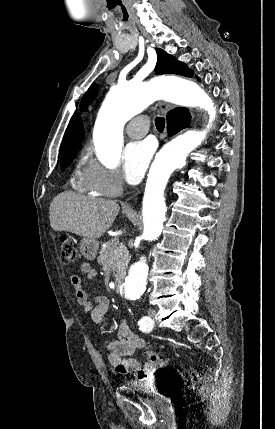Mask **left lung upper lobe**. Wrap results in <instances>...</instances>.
<instances>
[{
  "label": "left lung upper lobe",
  "instance_id": "1",
  "mask_svg": "<svg viewBox=\"0 0 275 429\" xmlns=\"http://www.w3.org/2000/svg\"><path fill=\"white\" fill-rule=\"evenodd\" d=\"M157 64L154 69L156 75L160 74H178L186 77H192L193 71L190 70L184 63L178 61L174 56L166 53L162 49H156ZM97 87L93 85L83 96L81 106L86 107L87 104L96 96Z\"/></svg>",
  "mask_w": 275,
  "mask_h": 429
}]
</instances>
